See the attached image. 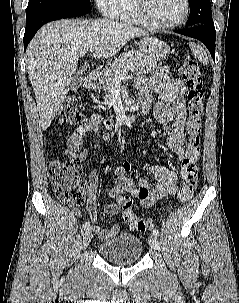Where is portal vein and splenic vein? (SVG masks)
<instances>
[{
  "mask_svg": "<svg viewBox=\"0 0 239 303\" xmlns=\"http://www.w3.org/2000/svg\"><path fill=\"white\" fill-rule=\"evenodd\" d=\"M97 48L96 45L90 46L89 50L90 52H94L95 49ZM133 67V64L130 63L129 65L125 66L122 71H118L115 73V80H121L126 74L127 72Z\"/></svg>",
  "mask_w": 239,
  "mask_h": 303,
  "instance_id": "obj_1",
  "label": "portal vein and splenic vein"
}]
</instances>
